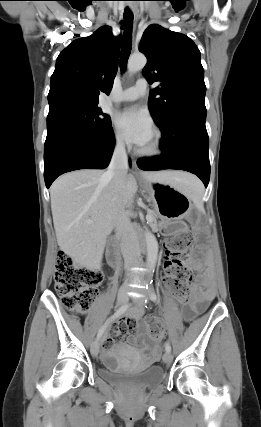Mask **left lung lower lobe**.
Segmentation results:
<instances>
[{"label":"left lung lower lobe","instance_id":"0a47b994","mask_svg":"<svg viewBox=\"0 0 261 427\" xmlns=\"http://www.w3.org/2000/svg\"><path fill=\"white\" fill-rule=\"evenodd\" d=\"M206 108L179 107L158 126L162 132V154L137 160L142 170L177 169L196 174L208 186L209 140L205 127Z\"/></svg>","mask_w":261,"mask_h":427}]
</instances>
